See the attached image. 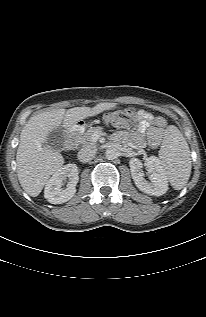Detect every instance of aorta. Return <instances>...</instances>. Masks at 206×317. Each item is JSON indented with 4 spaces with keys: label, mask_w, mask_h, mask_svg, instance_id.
<instances>
[{
    "label": "aorta",
    "mask_w": 206,
    "mask_h": 317,
    "mask_svg": "<svg viewBox=\"0 0 206 317\" xmlns=\"http://www.w3.org/2000/svg\"><path fill=\"white\" fill-rule=\"evenodd\" d=\"M118 150L116 148H108L105 152V156L108 160H114L118 157Z\"/></svg>",
    "instance_id": "762f6f07"
}]
</instances>
